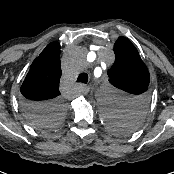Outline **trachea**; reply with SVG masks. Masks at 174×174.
Masks as SVG:
<instances>
[{"mask_svg":"<svg viewBox=\"0 0 174 174\" xmlns=\"http://www.w3.org/2000/svg\"><path fill=\"white\" fill-rule=\"evenodd\" d=\"M77 82L86 84L88 82V75L86 73H81L77 78Z\"/></svg>","mask_w":174,"mask_h":174,"instance_id":"3493384b","label":"trachea"}]
</instances>
